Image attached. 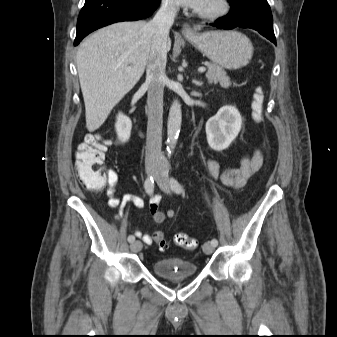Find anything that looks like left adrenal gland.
I'll list each match as a JSON object with an SVG mask.
<instances>
[{
	"label": "left adrenal gland",
	"mask_w": 337,
	"mask_h": 337,
	"mask_svg": "<svg viewBox=\"0 0 337 337\" xmlns=\"http://www.w3.org/2000/svg\"><path fill=\"white\" fill-rule=\"evenodd\" d=\"M194 83H195L197 86H202V83H201V82L194 81Z\"/></svg>",
	"instance_id": "obj_1"
}]
</instances>
